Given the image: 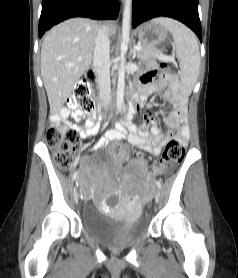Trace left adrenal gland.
Returning <instances> with one entry per match:
<instances>
[{
	"instance_id": "left-adrenal-gland-1",
	"label": "left adrenal gland",
	"mask_w": 238,
	"mask_h": 278,
	"mask_svg": "<svg viewBox=\"0 0 238 278\" xmlns=\"http://www.w3.org/2000/svg\"><path fill=\"white\" fill-rule=\"evenodd\" d=\"M136 53H135V50L133 51V57H135Z\"/></svg>"
}]
</instances>
